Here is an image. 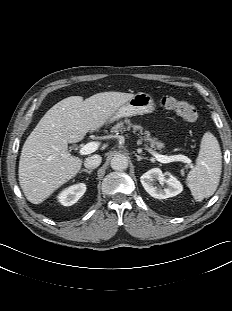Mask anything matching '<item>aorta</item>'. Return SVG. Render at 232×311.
Wrapping results in <instances>:
<instances>
[{
  "mask_svg": "<svg viewBox=\"0 0 232 311\" xmlns=\"http://www.w3.org/2000/svg\"><path fill=\"white\" fill-rule=\"evenodd\" d=\"M111 168L116 171H122L128 167V159L123 154H117L111 159Z\"/></svg>",
  "mask_w": 232,
  "mask_h": 311,
  "instance_id": "1",
  "label": "aorta"
}]
</instances>
